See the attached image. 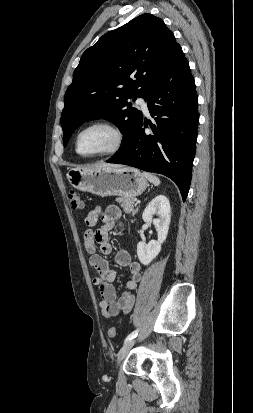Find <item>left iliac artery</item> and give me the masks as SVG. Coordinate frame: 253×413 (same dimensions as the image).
<instances>
[{"mask_svg":"<svg viewBox=\"0 0 253 413\" xmlns=\"http://www.w3.org/2000/svg\"><path fill=\"white\" fill-rule=\"evenodd\" d=\"M137 335H138V330L133 331L132 333H130V334L126 337L124 343L132 340V339L135 338Z\"/></svg>","mask_w":253,"mask_h":413,"instance_id":"1","label":"left iliac artery"}]
</instances>
